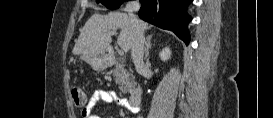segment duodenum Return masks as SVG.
Masks as SVG:
<instances>
[{
	"label": "duodenum",
	"mask_w": 273,
	"mask_h": 118,
	"mask_svg": "<svg viewBox=\"0 0 273 118\" xmlns=\"http://www.w3.org/2000/svg\"><path fill=\"white\" fill-rule=\"evenodd\" d=\"M142 88L140 86H134L128 95V100L131 105V107H136L140 104L142 100Z\"/></svg>",
	"instance_id": "1"
}]
</instances>
